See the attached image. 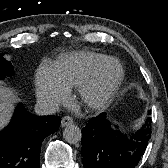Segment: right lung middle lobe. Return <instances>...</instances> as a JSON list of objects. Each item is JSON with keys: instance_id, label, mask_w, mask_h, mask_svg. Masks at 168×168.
Listing matches in <instances>:
<instances>
[{"instance_id": "1", "label": "right lung middle lobe", "mask_w": 168, "mask_h": 168, "mask_svg": "<svg viewBox=\"0 0 168 168\" xmlns=\"http://www.w3.org/2000/svg\"><path fill=\"white\" fill-rule=\"evenodd\" d=\"M12 74L13 66L3 58V54H0V79H4L6 76H11Z\"/></svg>"}]
</instances>
